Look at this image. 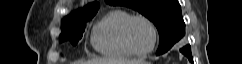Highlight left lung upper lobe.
Returning a JSON list of instances; mask_svg holds the SVG:
<instances>
[{
  "mask_svg": "<svg viewBox=\"0 0 242 64\" xmlns=\"http://www.w3.org/2000/svg\"><path fill=\"white\" fill-rule=\"evenodd\" d=\"M109 5L130 7L151 20L158 29L157 55L167 52L185 35V23L178 0H105Z\"/></svg>",
  "mask_w": 242,
  "mask_h": 64,
  "instance_id": "obj_1",
  "label": "left lung upper lobe"
}]
</instances>
